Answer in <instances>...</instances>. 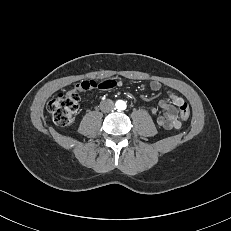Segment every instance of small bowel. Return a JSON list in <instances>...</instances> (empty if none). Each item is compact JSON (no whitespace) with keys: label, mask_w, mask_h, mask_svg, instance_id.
Masks as SVG:
<instances>
[{"label":"small bowel","mask_w":231,"mask_h":231,"mask_svg":"<svg viewBox=\"0 0 231 231\" xmlns=\"http://www.w3.org/2000/svg\"><path fill=\"white\" fill-rule=\"evenodd\" d=\"M116 86H122V82H117L114 79H106L99 83L95 81H82L76 85V90L86 91L90 88L98 87L103 90L113 89ZM150 88L153 91H158L161 89V83L158 81H152L150 83ZM185 103V100L176 93H168L166 98L159 102V108L161 113L157 116V123L164 129H179L181 127V122L178 119V109L181 105ZM151 113L153 115L158 113L157 108H152Z\"/></svg>","instance_id":"c3829d8e"}]
</instances>
